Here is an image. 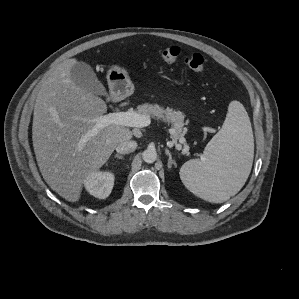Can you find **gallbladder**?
Listing matches in <instances>:
<instances>
[{"mask_svg": "<svg viewBox=\"0 0 299 299\" xmlns=\"http://www.w3.org/2000/svg\"><path fill=\"white\" fill-rule=\"evenodd\" d=\"M71 80L84 91L95 95L107 96L103 84L98 80L90 65L85 62L75 63L70 70Z\"/></svg>", "mask_w": 299, "mask_h": 299, "instance_id": "1", "label": "gallbladder"}]
</instances>
